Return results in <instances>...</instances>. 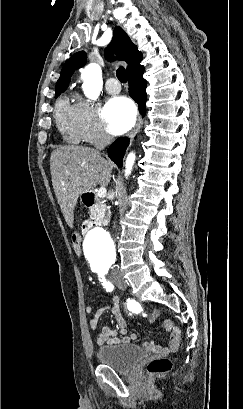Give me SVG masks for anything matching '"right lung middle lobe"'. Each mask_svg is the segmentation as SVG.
Listing matches in <instances>:
<instances>
[{"label": "right lung middle lobe", "instance_id": "dd1d6c3e", "mask_svg": "<svg viewBox=\"0 0 243 409\" xmlns=\"http://www.w3.org/2000/svg\"><path fill=\"white\" fill-rule=\"evenodd\" d=\"M61 93L59 92V93H56V96H59Z\"/></svg>", "mask_w": 243, "mask_h": 409}]
</instances>
